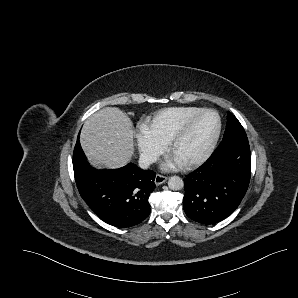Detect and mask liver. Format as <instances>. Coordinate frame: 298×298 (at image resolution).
<instances>
[{
    "mask_svg": "<svg viewBox=\"0 0 298 298\" xmlns=\"http://www.w3.org/2000/svg\"><path fill=\"white\" fill-rule=\"evenodd\" d=\"M80 143L92 165L123 167L134 153L132 122L119 108H103L85 121Z\"/></svg>",
    "mask_w": 298,
    "mask_h": 298,
    "instance_id": "obj_1",
    "label": "liver"
}]
</instances>
